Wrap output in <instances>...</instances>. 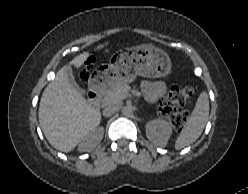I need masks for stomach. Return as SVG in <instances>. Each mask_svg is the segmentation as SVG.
<instances>
[{"mask_svg":"<svg viewBox=\"0 0 248 194\" xmlns=\"http://www.w3.org/2000/svg\"><path fill=\"white\" fill-rule=\"evenodd\" d=\"M171 71V62L168 55L161 49L142 44L131 51L113 54L110 63L104 66L105 86L127 84L137 76L159 78L168 75Z\"/></svg>","mask_w":248,"mask_h":194,"instance_id":"0dacf381","label":"stomach"}]
</instances>
